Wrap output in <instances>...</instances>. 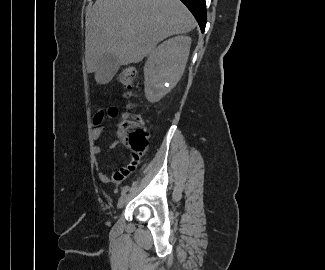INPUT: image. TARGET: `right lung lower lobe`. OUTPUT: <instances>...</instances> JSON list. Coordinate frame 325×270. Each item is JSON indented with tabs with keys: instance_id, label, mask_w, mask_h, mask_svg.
Here are the masks:
<instances>
[{
	"instance_id": "1",
	"label": "right lung lower lobe",
	"mask_w": 325,
	"mask_h": 270,
	"mask_svg": "<svg viewBox=\"0 0 325 270\" xmlns=\"http://www.w3.org/2000/svg\"><path fill=\"white\" fill-rule=\"evenodd\" d=\"M196 18L201 31L204 32L207 14L205 0H181Z\"/></svg>"
}]
</instances>
